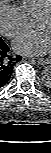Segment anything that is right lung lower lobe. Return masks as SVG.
Returning a JSON list of instances; mask_svg holds the SVG:
<instances>
[{"mask_svg": "<svg viewBox=\"0 0 51 153\" xmlns=\"http://www.w3.org/2000/svg\"><path fill=\"white\" fill-rule=\"evenodd\" d=\"M9 47L0 39V88L8 83L14 65L21 60V56L13 57L8 54Z\"/></svg>", "mask_w": 51, "mask_h": 153, "instance_id": "obj_1", "label": "right lung lower lobe"}]
</instances>
